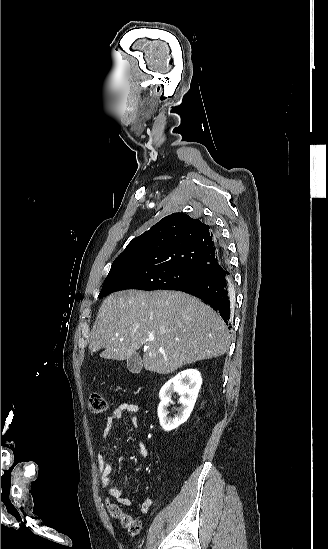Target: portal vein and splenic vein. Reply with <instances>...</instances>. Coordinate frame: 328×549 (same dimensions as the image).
<instances>
[{"mask_svg":"<svg viewBox=\"0 0 328 549\" xmlns=\"http://www.w3.org/2000/svg\"><path fill=\"white\" fill-rule=\"evenodd\" d=\"M120 341H123V339H120ZM149 341H154L153 337H150Z\"/></svg>","mask_w":328,"mask_h":549,"instance_id":"obj_1","label":"portal vein and splenic vein"}]
</instances>
